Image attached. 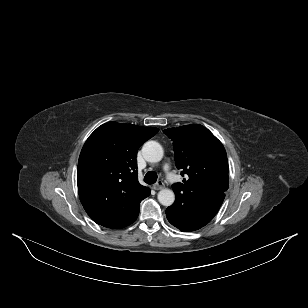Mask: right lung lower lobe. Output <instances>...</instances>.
Instances as JSON below:
<instances>
[{
  "mask_svg": "<svg viewBox=\"0 0 308 308\" xmlns=\"http://www.w3.org/2000/svg\"><path fill=\"white\" fill-rule=\"evenodd\" d=\"M138 214H139V212L133 217V219L131 220L130 224L133 223L136 220V218L138 217Z\"/></svg>",
  "mask_w": 308,
  "mask_h": 308,
  "instance_id": "obj_1",
  "label": "right lung lower lobe"
}]
</instances>
